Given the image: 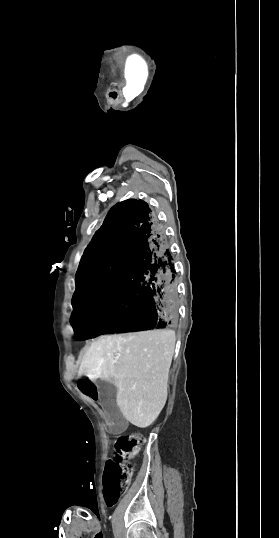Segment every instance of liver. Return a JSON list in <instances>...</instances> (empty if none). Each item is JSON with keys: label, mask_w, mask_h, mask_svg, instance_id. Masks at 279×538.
<instances>
[{"label": "liver", "mask_w": 279, "mask_h": 538, "mask_svg": "<svg viewBox=\"0 0 279 538\" xmlns=\"http://www.w3.org/2000/svg\"><path fill=\"white\" fill-rule=\"evenodd\" d=\"M175 342L174 330L100 336L87 350L78 376L114 384L124 418L137 428H147L166 404Z\"/></svg>", "instance_id": "6515ba94"}]
</instances>
